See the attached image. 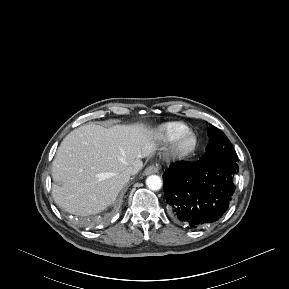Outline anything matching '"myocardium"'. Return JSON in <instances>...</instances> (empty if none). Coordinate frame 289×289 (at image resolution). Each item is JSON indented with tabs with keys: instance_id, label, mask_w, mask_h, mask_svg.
<instances>
[{
	"instance_id": "f54148a6",
	"label": "myocardium",
	"mask_w": 289,
	"mask_h": 289,
	"mask_svg": "<svg viewBox=\"0 0 289 289\" xmlns=\"http://www.w3.org/2000/svg\"><path fill=\"white\" fill-rule=\"evenodd\" d=\"M190 139L191 144L189 146H184V142ZM198 138L196 134L190 130H187L179 134L176 138L171 141L170 147L168 149V155L172 159L181 160L191 156L197 149Z\"/></svg>"
}]
</instances>
